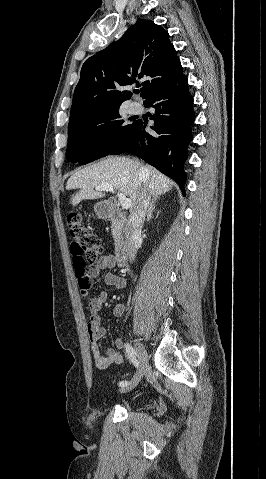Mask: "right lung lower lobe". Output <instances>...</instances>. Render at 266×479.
I'll return each mask as SVG.
<instances>
[{
  "instance_id": "1",
  "label": "right lung lower lobe",
  "mask_w": 266,
  "mask_h": 479,
  "mask_svg": "<svg viewBox=\"0 0 266 479\" xmlns=\"http://www.w3.org/2000/svg\"><path fill=\"white\" fill-rule=\"evenodd\" d=\"M143 103L145 107L155 108L150 117L154 120L151 129L155 132L147 133L146 123L134 121L131 130L110 155L135 154L172 178L184 192L183 164L187 159V145L192 140L191 124L195 120L186 76L182 74L158 88Z\"/></svg>"
}]
</instances>
